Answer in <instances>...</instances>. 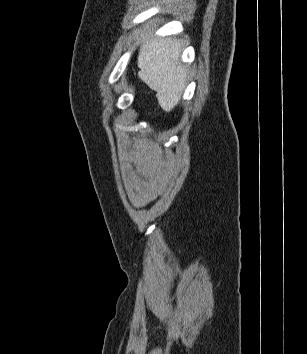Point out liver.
Instances as JSON below:
<instances>
[{
	"label": "liver",
	"mask_w": 307,
	"mask_h": 354,
	"mask_svg": "<svg viewBox=\"0 0 307 354\" xmlns=\"http://www.w3.org/2000/svg\"><path fill=\"white\" fill-rule=\"evenodd\" d=\"M181 52L179 40L148 35L139 50L138 75L156 91L159 105L166 112L177 105L186 87L187 69L180 63Z\"/></svg>",
	"instance_id": "1"
}]
</instances>
